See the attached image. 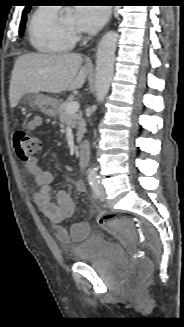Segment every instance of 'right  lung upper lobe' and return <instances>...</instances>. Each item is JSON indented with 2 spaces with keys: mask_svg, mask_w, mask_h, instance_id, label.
Listing matches in <instances>:
<instances>
[{
  "mask_svg": "<svg viewBox=\"0 0 184 327\" xmlns=\"http://www.w3.org/2000/svg\"><path fill=\"white\" fill-rule=\"evenodd\" d=\"M24 14H25V10H24V12H23V15H24ZM23 15H22V16H23Z\"/></svg>",
  "mask_w": 184,
  "mask_h": 327,
  "instance_id": "obj_1",
  "label": "right lung upper lobe"
}]
</instances>
